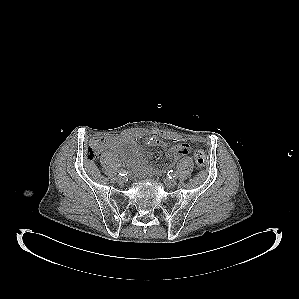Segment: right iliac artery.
Segmentation results:
<instances>
[{
  "label": "right iliac artery",
  "instance_id": "right-iliac-artery-1",
  "mask_svg": "<svg viewBox=\"0 0 299 299\" xmlns=\"http://www.w3.org/2000/svg\"><path fill=\"white\" fill-rule=\"evenodd\" d=\"M118 173L120 176H124L127 175L128 172L125 169H120Z\"/></svg>",
  "mask_w": 299,
  "mask_h": 299
}]
</instances>
